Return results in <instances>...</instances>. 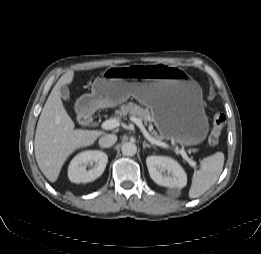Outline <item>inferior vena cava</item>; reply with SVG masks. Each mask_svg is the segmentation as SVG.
Returning a JSON list of instances; mask_svg holds the SVG:
<instances>
[{
	"label": "inferior vena cava",
	"mask_w": 261,
	"mask_h": 254,
	"mask_svg": "<svg viewBox=\"0 0 261 254\" xmlns=\"http://www.w3.org/2000/svg\"><path fill=\"white\" fill-rule=\"evenodd\" d=\"M117 141V136L114 134H105L99 139V145L103 148L113 146Z\"/></svg>",
	"instance_id": "1"
}]
</instances>
